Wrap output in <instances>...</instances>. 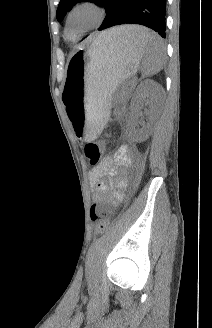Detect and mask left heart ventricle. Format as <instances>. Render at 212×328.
Segmentation results:
<instances>
[{
  "label": "left heart ventricle",
  "instance_id": "obj_1",
  "mask_svg": "<svg viewBox=\"0 0 212 328\" xmlns=\"http://www.w3.org/2000/svg\"><path fill=\"white\" fill-rule=\"evenodd\" d=\"M95 14L88 10L78 12L72 22V30L80 31L91 25L95 20Z\"/></svg>",
  "mask_w": 212,
  "mask_h": 328
}]
</instances>
